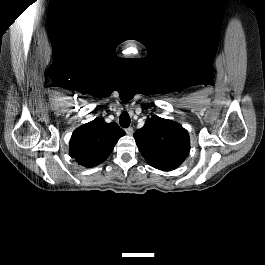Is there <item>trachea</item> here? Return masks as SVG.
Returning <instances> with one entry per match:
<instances>
[{"label":"trachea","instance_id":"trachea-1","mask_svg":"<svg viewBox=\"0 0 265 265\" xmlns=\"http://www.w3.org/2000/svg\"><path fill=\"white\" fill-rule=\"evenodd\" d=\"M130 122H131V120H130L129 114L126 111L122 112L120 117H119V123H120L121 127L128 128L130 125Z\"/></svg>","mask_w":265,"mask_h":265}]
</instances>
